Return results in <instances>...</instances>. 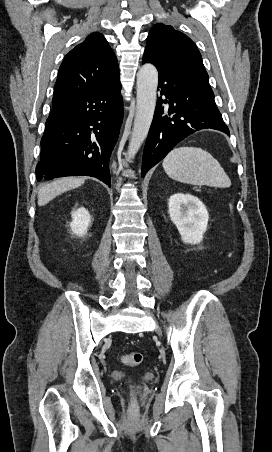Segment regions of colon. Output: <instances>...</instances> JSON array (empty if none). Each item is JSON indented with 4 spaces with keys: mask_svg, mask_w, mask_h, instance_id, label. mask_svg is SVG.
Returning a JSON list of instances; mask_svg holds the SVG:
<instances>
[{
    "mask_svg": "<svg viewBox=\"0 0 272 452\" xmlns=\"http://www.w3.org/2000/svg\"><path fill=\"white\" fill-rule=\"evenodd\" d=\"M143 361V355L139 352H130L122 357V362L128 366H137Z\"/></svg>",
    "mask_w": 272,
    "mask_h": 452,
    "instance_id": "colon-1",
    "label": "colon"
}]
</instances>
